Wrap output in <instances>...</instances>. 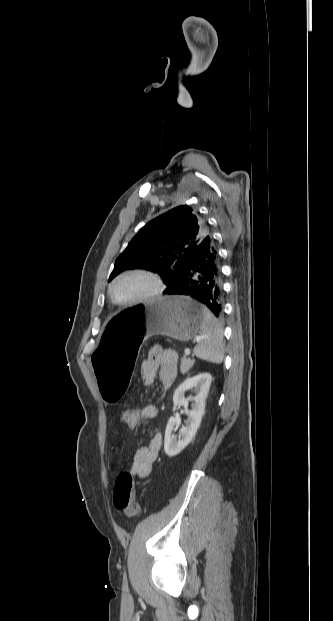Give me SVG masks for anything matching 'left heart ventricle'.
<instances>
[{"label": "left heart ventricle", "instance_id": "left-heart-ventricle-1", "mask_svg": "<svg viewBox=\"0 0 333 621\" xmlns=\"http://www.w3.org/2000/svg\"><path fill=\"white\" fill-rule=\"evenodd\" d=\"M152 288V281L144 276H126L114 284L113 294L119 301H129L147 294Z\"/></svg>", "mask_w": 333, "mask_h": 621}]
</instances>
